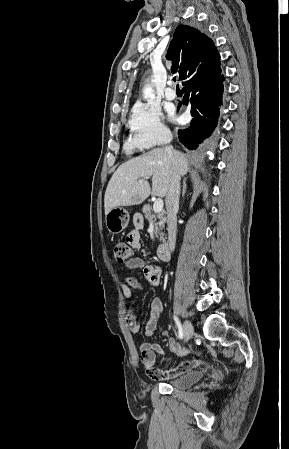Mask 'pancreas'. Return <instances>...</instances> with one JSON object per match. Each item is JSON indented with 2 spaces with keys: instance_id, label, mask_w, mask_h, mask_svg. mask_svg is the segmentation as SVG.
Here are the masks:
<instances>
[{
  "instance_id": "cf45deb5",
  "label": "pancreas",
  "mask_w": 289,
  "mask_h": 449,
  "mask_svg": "<svg viewBox=\"0 0 289 449\" xmlns=\"http://www.w3.org/2000/svg\"><path fill=\"white\" fill-rule=\"evenodd\" d=\"M143 213L145 218L149 222H154L158 219V222H155V235L158 238L160 236V241L165 242L163 229L165 227L166 217H165V211L159 212L157 215H154L152 213V209L150 205H145L143 207Z\"/></svg>"
}]
</instances>
